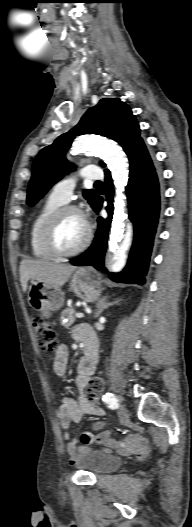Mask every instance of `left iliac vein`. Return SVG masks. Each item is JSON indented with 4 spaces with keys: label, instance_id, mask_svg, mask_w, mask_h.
Listing matches in <instances>:
<instances>
[{
    "label": "left iliac vein",
    "instance_id": "4c4485c4",
    "mask_svg": "<svg viewBox=\"0 0 192 527\" xmlns=\"http://www.w3.org/2000/svg\"><path fill=\"white\" fill-rule=\"evenodd\" d=\"M118 416L120 418V420L125 423L129 420V414H128V411L126 409V407L124 405H121L119 408H118Z\"/></svg>",
    "mask_w": 192,
    "mask_h": 527
}]
</instances>
